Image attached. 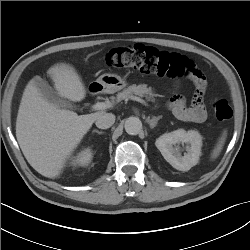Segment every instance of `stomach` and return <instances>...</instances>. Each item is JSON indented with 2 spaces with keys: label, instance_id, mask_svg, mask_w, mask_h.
Wrapping results in <instances>:
<instances>
[{
  "label": "stomach",
  "instance_id": "0dacf381",
  "mask_svg": "<svg viewBox=\"0 0 250 250\" xmlns=\"http://www.w3.org/2000/svg\"><path fill=\"white\" fill-rule=\"evenodd\" d=\"M96 83L101 86V88L108 92L114 93L120 91L127 86V81L117 74H103L98 77Z\"/></svg>",
  "mask_w": 250,
  "mask_h": 250
}]
</instances>
